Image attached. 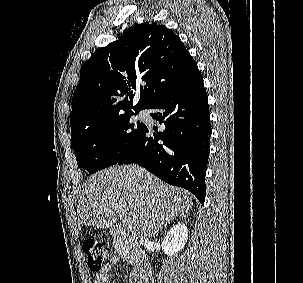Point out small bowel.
Masks as SVG:
<instances>
[{"label": "small bowel", "instance_id": "1", "mask_svg": "<svg viewBox=\"0 0 303 283\" xmlns=\"http://www.w3.org/2000/svg\"><path fill=\"white\" fill-rule=\"evenodd\" d=\"M117 262L118 257H110L109 260L104 264L103 268L95 276L94 283H107L110 279L109 271Z\"/></svg>", "mask_w": 303, "mask_h": 283}]
</instances>
